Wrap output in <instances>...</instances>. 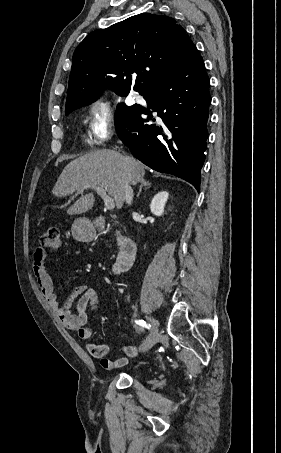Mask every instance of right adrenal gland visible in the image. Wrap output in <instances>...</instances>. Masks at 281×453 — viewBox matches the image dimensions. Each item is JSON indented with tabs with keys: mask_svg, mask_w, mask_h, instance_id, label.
Listing matches in <instances>:
<instances>
[{
	"mask_svg": "<svg viewBox=\"0 0 281 453\" xmlns=\"http://www.w3.org/2000/svg\"><path fill=\"white\" fill-rule=\"evenodd\" d=\"M141 184L139 186V190L136 194V196H139L140 192H142V188L143 186H146V188H149V186H151V182H149V180H145V178H142V180H140Z\"/></svg>",
	"mask_w": 281,
	"mask_h": 453,
	"instance_id": "1",
	"label": "right adrenal gland"
}]
</instances>
